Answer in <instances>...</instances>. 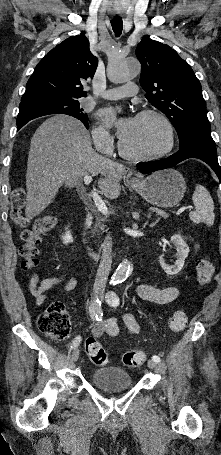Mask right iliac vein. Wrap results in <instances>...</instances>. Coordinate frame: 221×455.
I'll use <instances>...</instances> for the list:
<instances>
[{"label":"right iliac vein","instance_id":"obj_1","mask_svg":"<svg viewBox=\"0 0 221 455\" xmlns=\"http://www.w3.org/2000/svg\"><path fill=\"white\" fill-rule=\"evenodd\" d=\"M71 358L72 360L75 362L78 360L79 358V350L77 348H75L72 352V355H71Z\"/></svg>","mask_w":221,"mask_h":455}]
</instances>
